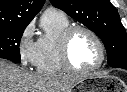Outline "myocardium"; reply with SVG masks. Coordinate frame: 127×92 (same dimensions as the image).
<instances>
[{"instance_id":"obj_1","label":"myocardium","mask_w":127,"mask_h":92,"mask_svg":"<svg viewBox=\"0 0 127 92\" xmlns=\"http://www.w3.org/2000/svg\"><path fill=\"white\" fill-rule=\"evenodd\" d=\"M78 32H85L88 35H90L98 46L99 53H100L99 61L96 65L90 68L79 69L75 67V65L72 63V60L70 57V46H71L72 39ZM59 51H60V59H61L63 67L67 71L75 73V74H87V73L96 71L102 67L106 59V51H105V47L101 38L98 36V34L94 30L83 25L70 26L68 29L64 31L60 40Z\"/></svg>"}]
</instances>
